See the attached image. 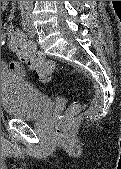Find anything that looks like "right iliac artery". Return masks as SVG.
<instances>
[{"label": "right iliac artery", "instance_id": "82829eb1", "mask_svg": "<svg viewBox=\"0 0 121 169\" xmlns=\"http://www.w3.org/2000/svg\"><path fill=\"white\" fill-rule=\"evenodd\" d=\"M20 9H21V10H23V7H22V6H20Z\"/></svg>", "mask_w": 121, "mask_h": 169}]
</instances>
